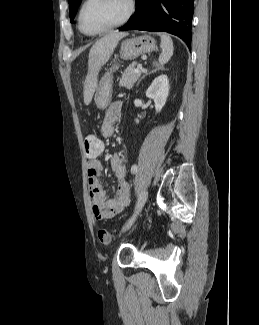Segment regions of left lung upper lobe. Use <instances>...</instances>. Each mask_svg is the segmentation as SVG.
Returning <instances> with one entry per match:
<instances>
[{
    "label": "left lung upper lobe",
    "instance_id": "1",
    "mask_svg": "<svg viewBox=\"0 0 259 325\" xmlns=\"http://www.w3.org/2000/svg\"><path fill=\"white\" fill-rule=\"evenodd\" d=\"M82 0H68L69 2V14H70V20L74 19L78 6Z\"/></svg>",
    "mask_w": 259,
    "mask_h": 325
}]
</instances>
